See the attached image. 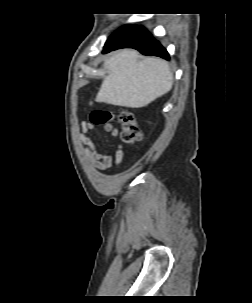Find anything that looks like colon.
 Here are the masks:
<instances>
[{
    "label": "colon",
    "mask_w": 252,
    "mask_h": 303,
    "mask_svg": "<svg viewBox=\"0 0 252 303\" xmlns=\"http://www.w3.org/2000/svg\"><path fill=\"white\" fill-rule=\"evenodd\" d=\"M114 114L105 109H96L91 112L89 120L95 125H105L112 122ZM121 124V138L125 143H136L140 139V130L133 113L122 111L118 116Z\"/></svg>",
    "instance_id": "5ec220e1"
}]
</instances>
